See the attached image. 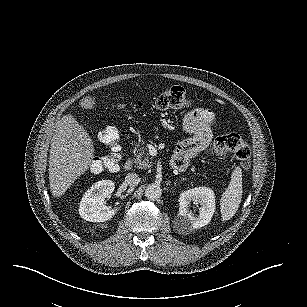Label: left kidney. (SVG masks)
<instances>
[{"label": "left kidney", "instance_id": "left-kidney-1", "mask_svg": "<svg viewBox=\"0 0 307 307\" xmlns=\"http://www.w3.org/2000/svg\"><path fill=\"white\" fill-rule=\"evenodd\" d=\"M200 204L199 215L190 210V204ZM215 194L209 187H195L186 190L179 197L178 224L179 231L201 228L210 223L215 212Z\"/></svg>", "mask_w": 307, "mask_h": 307}]
</instances>
